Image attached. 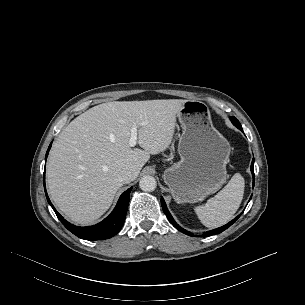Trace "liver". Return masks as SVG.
<instances>
[{
	"mask_svg": "<svg viewBox=\"0 0 305 305\" xmlns=\"http://www.w3.org/2000/svg\"><path fill=\"white\" fill-rule=\"evenodd\" d=\"M186 101H113L72 120L53 144L46 168L48 191L59 210L81 225L103 215L123 186L120 171L131 170L134 180L150 154L169 147ZM134 125L143 150L129 145Z\"/></svg>",
	"mask_w": 305,
	"mask_h": 305,
	"instance_id": "obj_1",
	"label": "liver"
}]
</instances>
